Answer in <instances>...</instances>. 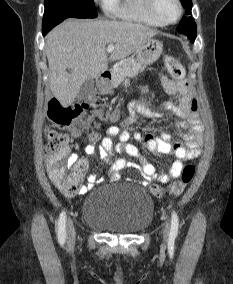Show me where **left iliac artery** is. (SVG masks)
I'll use <instances>...</instances> for the list:
<instances>
[{"label": "left iliac artery", "mask_w": 233, "mask_h": 284, "mask_svg": "<svg viewBox=\"0 0 233 284\" xmlns=\"http://www.w3.org/2000/svg\"><path fill=\"white\" fill-rule=\"evenodd\" d=\"M179 218L175 211L172 212L170 236L175 238L178 234Z\"/></svg>", "instance_id": "obj_1"}]
</instances>
